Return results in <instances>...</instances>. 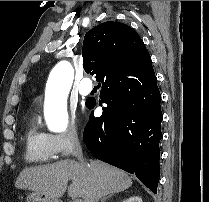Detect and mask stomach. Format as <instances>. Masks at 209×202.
<instances>
[{"label":"stomach","mask_w":209,"mask_h":202,"mask_svg":"<svg viewBox=\"0 0 209 202\" xmlns=\"http://www.w3.org/2000/svg\"><path fill=\"white\" fill-rule=\"evenodd\" d=\"M26 202H60L58 198H52L42 193L32 191L27 194Z\"/></svg>","instance_id":"0dacf381"}]
</instances>
